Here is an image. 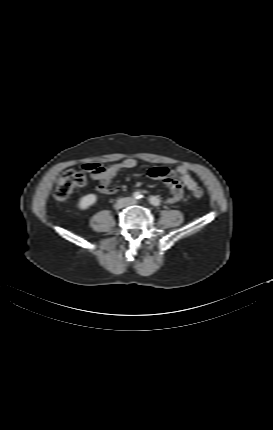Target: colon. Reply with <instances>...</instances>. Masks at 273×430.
<instances>
[{
	"label": "colon",
	"instance_id": "5ec220e1",
	"mask_svg": "<svg viewBox=\"0 0 273 430\" xmlns=\"http://www.w3.org/2000/svg\"><path fill=\"white\" fill-rule=\"evenodd\" d=\"M87 178L88 175L81 171H66L56 180L54 198L57 201L66 200L76 189L86 185ZM192 195L195 198H201L204 195V191L201 187H197L192 190Z\"/></svg>",
	"mask_w": 273,
	"mask_h": 430
}]
</instances>
